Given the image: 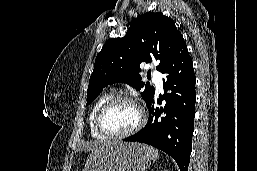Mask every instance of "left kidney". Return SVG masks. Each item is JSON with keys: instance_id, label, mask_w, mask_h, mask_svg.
Listing matches in <instances>:
<instances>
[{"instance_id": "left-kidney-1", "label": "left kidney", "mask_w": 257, "mask_h": 171, "mask_svg": "<svg viewBox=\"0 0 257 171\" xmlns=\"http://www.w3.org/2000/svg\"><path fill=\"white\" fill-rule=\"evenodd\" d=\"M161 171H169V170H166V169H165V170H161Z\"/></svg>"}]
</instances>
